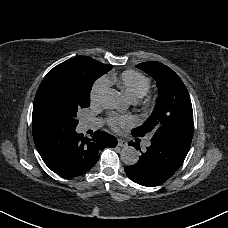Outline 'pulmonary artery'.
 <instances>
[{
	"label": "pulmonary artery",
	"mask_w": 228,
	"mask_h": 228,
	"mask_svg": "<svg viewBox=\"0 0 228 228\" xmlns=\"http://www.w3.org/2000/svg\"><path fill=\"white\" fill-rule=\"evenodd\" d=\"M145 144H146V145H149V140H147Z\"/></svg>",
	"instance_id": "e3ab8cb5"
}]
</instances>
